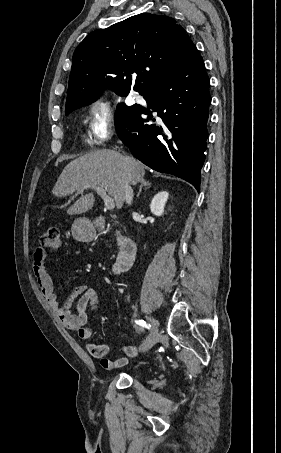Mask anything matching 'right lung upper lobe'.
<instances>
[{
    "label": "right lung upper lobe",
    "instance_id": "1",
    "mask_svg": "<svg viewBox=\"0 0 281 453\" xmlns=\"http://www.w3.org/2000/svg\"><path fill=\"white\" fill-rule=\"evenodd\" d=\"M197 55L185 29L167 16L142 13L95 30L74 52L65 113L95 102L104 86L142 95Z\"/></svg>",
    "mask_w": 281,
    "mask_h": 453
}]
</instances>
